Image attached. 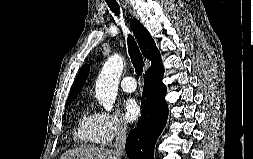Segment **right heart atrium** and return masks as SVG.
Returning <instances> with one entry per match:
<instances>
[{
	"instance_id": "1",
	"label": "right heart atrium",
	"mask_w": 253,
	"mask_h": 159,
	"mask_svg": "<svg viewBox=\"0 0 253 159\" xmlns=\"http://www.w3.org/2000/svg\"><path fill=\"white\" fill-rule=\"evenodd\" d=\"M100 128V141L103 145L111 144L116 138L127 132V125L114 112L100 111L97 113Z\"/></svg>"
}]
</instances>
